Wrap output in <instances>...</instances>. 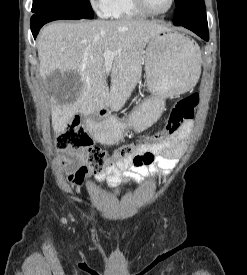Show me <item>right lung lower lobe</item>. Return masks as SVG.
<instances>
[{
    "instance_id": "obj_1",
    "label": "right lung lower lobe",
    "mask_w": 247,
    "mask_h": 275,
    "mask_svg": "<svg viewBox=\"0 0 247 275\" xmlns=\"http://www.w3.org/2000/svg\"><path fill=\"white\" fill-rule=\"evenodd\" d=\"M63 19H84L82 17H77V16H72V15H68V14H64V13H60V12H44V13H36L31 17V31L32 34L34 36V38H36L39 30L41 29V27L50 22V21H54V20H63Z\"/></svg>"
}]
</instances>
